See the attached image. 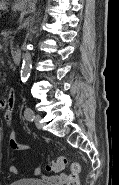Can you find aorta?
Returning <instances> with one entry per match:
<instances>
[{"mask_svg": "<svg viewBox=\"0 0 119 185\" xmlns=\"http://www.w3.org/2000/svg\"><path fill=\"white\" fill-rule=\"evenodd\" d=\"M31 67H32L31 54L28 50H26V52L23 55V63H22V68H21V80L23 82H26L27 79L29 78Z\"/></svg>", "mask_w": 119, "mask_h": 185, "instance_id": "obj_1", "label": "aorta"}]
</instances>
